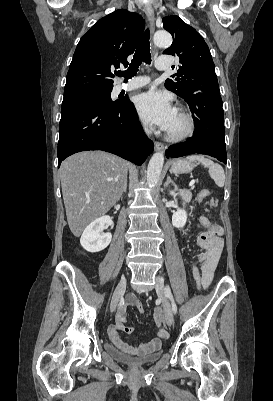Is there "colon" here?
Returning <instances> with one entry per match:
<instances>
[{
	"label": "colon",
	"mask_w": 273,
	"mask_h": 401,
	"mask_svg": "<svg viewBox=\"0 0 273 401\" xmlns=\"http://www.w3.org/2000/svg\"><path fill=\"white\" fill-rule=\"evenodd\" d=\"M212 203L215 204V202H213V201H212ZM220 233H221L220 226L211 225L208 228V231L203 233L202 238H203L204 241H211L212 238H218L220 236ZM135 304L137 306L136 308H137L139 313L142 314V313L146 312V307L143 305L144 303H143V299L141 297H138L136 299V303Z\"/></svg>",
	"instance_id": "1"
}]
</instances>
